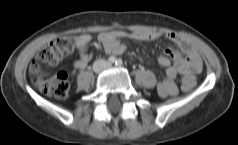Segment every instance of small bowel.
Masks as SVG:
<instances>
[{"label": "small bowel", "mask_w": 238, "mask_h": 145, "mask_svg": "<svg viewBox=\"0 0 238 145\" xmlns=\"http://www.w3.org/2000/svg\"><path fill=\"white\" fill-rule=\"evenodd\" d=\"M163 37L177 44L180 49L177 52L168 48L165 50V55L158 58L159 65L166 68V72L165 77L158 83L157 90L160 96L167 97L178 93L176 85L178 75L183 76V82H189V85L183 89L190 90L195 84V73L202 69V61L189 40L173 32L112 30L101 33L98 36V41L106 52L121 54L126 49V45L122 42L123 39L152 41ZM74 38L79 58L73 62V66L77 70H83L92 57L90 45L93 37L88 33H81ZM170 59L174 61L173 65H171Z\"/></svg>", "instance_id": "small-bowel-1"}]
</instances>
